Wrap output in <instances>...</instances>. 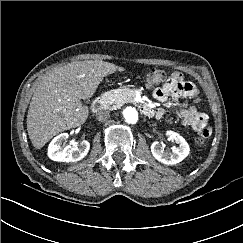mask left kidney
I'll list each match as a JSON object with an SVG mask.
<instances>
[{"mask_svg":"<svg viewBox=\"0 0 243 243\" xmlns=\"http://www.w3.org/2000/svg\"><path fill=\"white\" fill-rule=\"evenodd\" d=\"M166 135L171 141L179 144L178 148H173L172 151L164 150L159 142H153L151 145V152L155 159L165 165H174L184 160L190 151L189 145L186 140L178 133L167 131Z\"/></svg>","mask_w":243,"mask_h":243,"instance_id":"1","label":"left kidney"}]
</instances>
